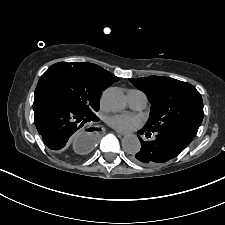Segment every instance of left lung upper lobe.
<instances>
[{
    "label": "left lung upper lobe",
    "instance_id": "1",
    "mask_svg": "<svg viewBox=\"0 0 225 225\" xmlns=\"http://www.w3.org/2000/svg\"><path fill=\"white\" fill-rule=\"evenodd\" d=\"M129 80L151 103L145 130L157 133L185 125H201L203 101L193 85L160 76Z\"/></svg>",
    "mask_w": 225,
    "mask_h": 225
}]
</instances>
